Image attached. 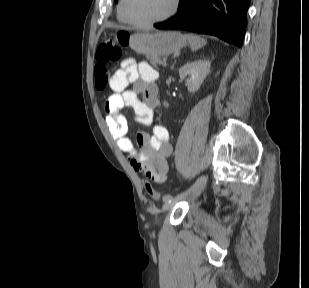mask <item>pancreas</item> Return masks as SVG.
I'll return each mask as SVG.
<instances>
[{
    "instance_id": "obj_1",
    "label": "pancreas",
    "mask_w": 309,
    "mask_h": 288,
    "mask_svg": "<svg viewBox=\"0 0 309 288\" xmlns=\"http://www.w3.org/2000/svg\"><path fill=\"white\" fill-rule=\"evenodd\" d=\"M148 60L150 64H152L153 66H156L157 64L160 65L163 63L159 57H155V56L149 57Z\"/></svg>"
}]
</instances>
